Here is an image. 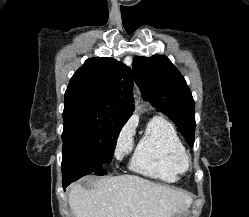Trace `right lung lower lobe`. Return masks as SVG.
Returning <instances> with one entry per match:
<instances>
[{
	"instance_id": "right-lung-lower-lobe-1",
	"label": "right lung lower lobe",
	"mask_w": 249,
	"mask_h": 217,
	"mask_svg": "<svg viewBox=\"0 0 249 217\" xmlns=\"http://www.w3.org/2000/svg\"><path fill=\"white\" fill-rule=\"evenodd\" d=\"M90 173L96 175L107 174L103 167L98 166L97 162L91 157L75 151L68 152L63 150L62 174L64 190L73 181Z\"/></svg>"
}]
</instances>
